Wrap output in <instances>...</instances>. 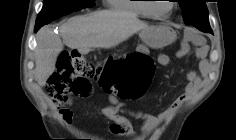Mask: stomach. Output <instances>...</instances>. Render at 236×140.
Wrapping results in <instances>:
<instances>
[{"label": "stomach", "mask_w": 236, "mask_h": 140, "mask_svg": "<svg viewBox=\"0 0 236 140\" xmlns=\"http://www.w3.org/2000/svg\"><path fill=\"white\" fill-rule=\"evenodd\" d=\"M142 34L145 43L152 48H162L176 40V32L166 24L150 27Z\"/></svg>", "instance_id": "1"}]
</instances>
